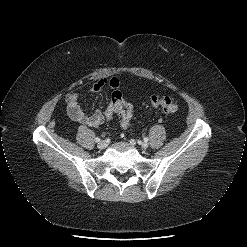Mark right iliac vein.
<instances>
[{"label":"right iliac vein","instance_id":"63e3f726","mask_svg":"<svg viewBox=\"0 0 247 247\" xmlns=\"http://www.w3.org/2000/svg\"><path fill=\"white\" fill-rule=\"evenodd\" d=\"M107 145H108L107 142L102 140L98 143L97 147L102 150V149H105Z\"/></svg>","mask_w":247,"mask_h":247}]
</instances>
